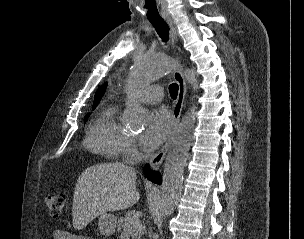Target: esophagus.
<instances>
[{
    "instance_id": "34e87169",
    "label": "esophagus",
    "mask_w": 304,
    "mask_h": 239,
    "mask_svg": "<svg viewBox=\"0 0 304 239\" xmlns=\"http://www.w3.org/2000/svg\"><path fill=\"white\" fill-rule=\"evenodd\" d=\"M167 23L171 29L173 47H174L176 57L180 61L181 60V56H180L181 49H180V46L178 45L176 29H175L171 19L168 18ZM173 77H174L175 82L178 84V95H177L176 102L174 103V106H173V126H172L171 131L168 135V138H167L166 142L164 143V145L162 146V148L158 151V153H156L153 157H151V159L149 161L150 167L153 170H158L165 159L166 153L168 151V148L170 146L174 133L178 127L181 112L183 109L185 96H186V91H187L186 83H185L182 69L180 67H178L176 69Z\"/></svg>"
}]
</instances>
